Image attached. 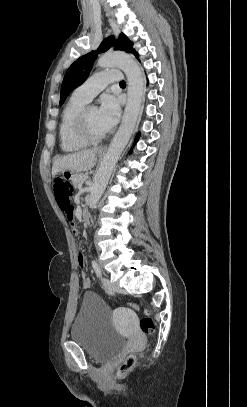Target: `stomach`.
<instances>
[{
    "mask_svg": "<svg viewBox=\"0 0 247 407\" xmlns=\"http://www.w3.org/2000/svg\"><path fill=\"white\" fill-rule=\"evenodd\" d=\"M60 177L61 178H69L73 181L74 178L79 177V170L73 169L72 166H65L64 169L60 170Z\"/></svg>",
    "mask_w": 247,
    "mask_h": 407,
    "instance_id": "obj_1",
    "label": "stomach"
}]
</instances>
